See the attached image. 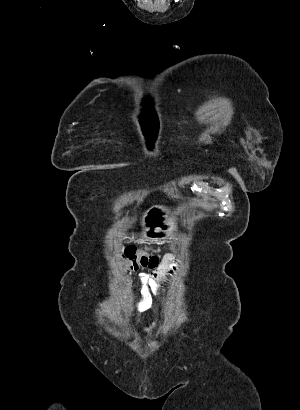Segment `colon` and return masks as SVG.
Wrapping results in <instances>:
<instances>
[{"mask_svg": "<svg viewBox=\"0 0 300 410\" xmlns=\"http://www.w3.org/2000/svg\"><path fill=\"white\" fill-rule=\"evenodd\" d=\"M123 258L130 270L154 268L158 265L159 257L134 247L128 248Z\"/></svg>", "mask_w": 300, "mask_h": 410, "instance_id": "1", "label": "colon"}]
</instances>
